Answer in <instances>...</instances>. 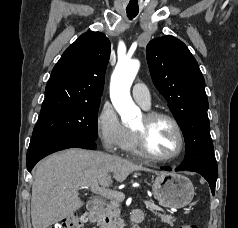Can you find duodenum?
Masks as SVG:
<instances>
[{
	"mask_svg": "<svg viewBox=\"0 0 238 228\" xmlns=\"http://www.w3.org/2000/svg\"><path fill=\"white\" fill-rule=\"evenodd\" d=\"M103 208L104 202L101 199H93L88 203V218L92 223H98V226L102 227L103 221ZM144 218V213L140 209L132 211L128 218V228H138V223H140Z\"/></svg>",
	"mask_w": 238,
	"mask_h": 228,
	"instance_id": "410a0bca",
	"label": "duodenum"
}]
</instances>
